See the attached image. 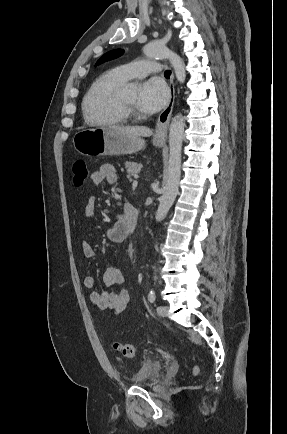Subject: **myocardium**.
<instances>
[{
	"instance_id": "f54148a6",
	"label": "myocardium",
	"mask_w": 287,
	"mask_h": 434,
	"mask_svg": "<svg viewBox=\"0 0 287 434\" xmlns=\"http://www.w3.org/2000/svg\"><path fill=\"white\" fill-rule=\"evenodd\" d=\"M115 102L120 110V112L126 117V118H136L140 116V113L136 108L129 105L124 98L122 97V92L120 90L117 91Z\"/></svg>"
}]
</instances>
